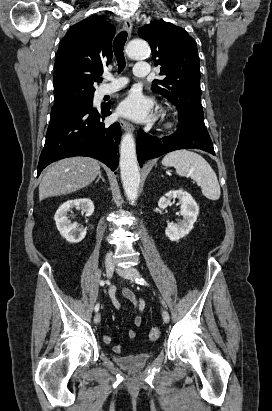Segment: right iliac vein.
Segmentation results:
<instances>
[{"label":"right iliac vein","mask_w":272,"mask_h":411,"mask_svg":"<svg viewBox=\"0 0 272 411\" xmlns=\"http://www.w3.org/2000/svg\"><path fill=\"white\" fill-rule=\"evenodd\" d=\"M105 274H106V277H107L108 279H111V278H112V276H113V274H114V266L112 265V263L107 262V263L105 264ZM100 320H101V315H100L99 312H97V313L95 314V316H94V322H95V324H98V323L100 322Z\"/></svg>","instance_id":"63e3f726"}]
</instances>
